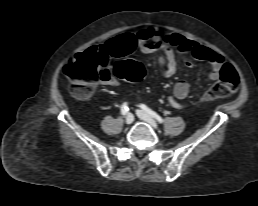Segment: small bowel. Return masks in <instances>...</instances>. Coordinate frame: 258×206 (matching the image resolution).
I'll list each match as a JSON object with an SVG mask.
<instances>
[{
  "label": "small bowel",
  "mask_w": 258,
  "mask_h": 206,
  "mask_svg": "<svg viewBox=\"0 0 258 206\" xmlns=\"http://www.w3.org/2000/svg\"><path fill=\"white\" fill-rule=\"evenodd\" d=\"M130 43L134 47H130ZM139 46L146 53H158V66L164 77H171L177 69L176 52L189 53L194 60L205 61L210 65L208 77L217 80L220 77L221 68L224 65L223 57L214 50L201 45L200 43L186 39L178 33H163L153 29H143L136 34L123 33L105 44L95 45L90 48L104 52L112 57H122ZM185 65L192 67L191 59L185 61ZM109 86H118L114 78L105 80ZM189 84L186 81H178L173 88V94L168 97V103L176 109L186 106L185 99L189 94Z\"/></svg>",
  "instance_id": "1"
}]
</instances>
